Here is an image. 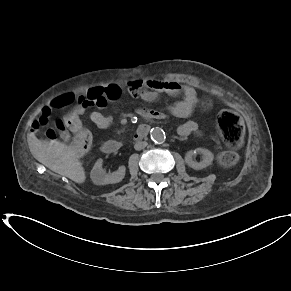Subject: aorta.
I'll use <instances>...</instances> for the list:
<instances>
[{
  "label": "aorta",
  "mask_w": 291,
  "mask_h": 291,
  "mask_svg": "<svg viewBox=\"0 0 291 291\" xmlns=\"http://www.w3.org/2000/svg\"><path fill=\"white\" fill-rule=\"evenodd\" d=\"M150 137L155 143H163L165 141V132L159 127L152 128Z\"/></svg>",
  "instance_id": "1"
}]
</instances>
